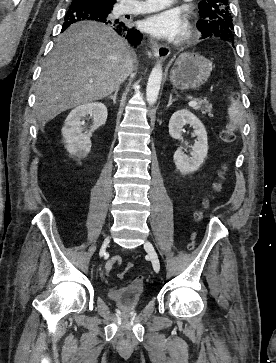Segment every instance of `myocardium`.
<instances>
[{"instance_id":"1","label":"myocardium","mask_w":276,"mask_h":363,"mask_svg":"<svg viewBox=\"0 0 276 363\" xmlns=\"http://www.w3.org/2000/svg\"><path fill=\"white\" fill-rule=\"evenodd\" d=\"M189 36L192 37L193 36V33H190Z\"/></svg>"}]
</instances>
